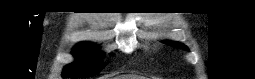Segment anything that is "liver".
<instances>
[{
  "label": "liver",
  "instance_id": "6515ba94",
  "mask_svg": "<svg viewBox=\"0 0 255 79\" xmlns=\"http://www.w3.org/2000/svg\"><path fill=\"white\" fill-rule=\"evenodd\" d=\"M119 79H143L140 76L132 75V76H121Z\"/></svg>",
  "mask_w": 255,
  "mask_h": 79
}]
</instances>
